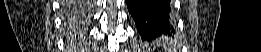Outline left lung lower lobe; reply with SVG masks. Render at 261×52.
Segmentation results:
<instances>
[{
    "mask_svg": "<svg viewBox=\"0 0 261 52\" xmlns=\"http://www.w3.org/2000/svg\"><path fill=\"white\" fill-rule=\"evenodd\" d=\"M126 4L143 40L175 33L170 0H126Z\"/></svg>",
    "mask_w": 261,
    "mask_h": 52,
    "instance_id": "left-lung-lower-lobe-1",
    "label": "left lung lower lobe"
}]
</instances>
